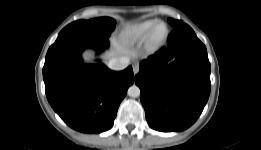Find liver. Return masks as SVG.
I'll use <instances>...</instances> for the list:
<instances>
[{"label": "liver", "mask_w": 261, "mask_h": 150, "mask_svg": "<svg viewBox=\"0 0 261 150\" xmlns=\"http://www.w3.org/2000/svg\"><path fill=\"white\" fill-rule=\"evenodd\" d=\"M111 42H112L113 46L116 48V52L111 51V52L107 53L104 56L105 58L115 57L116 53L117 54H127V53H130V51L126 48V46L123 43L117 41L115 38H112ZM84 58H85V61H87V62H93V60H94V53L90 52V51H87L84 54Z\"/></svg>", "instance_id": "obj_1"}]
</instances>
